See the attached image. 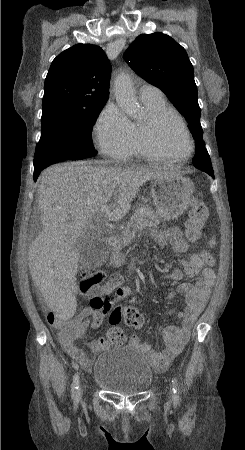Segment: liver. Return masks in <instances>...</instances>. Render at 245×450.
<instances>
[{"label": "liver", "mask_w": 245, "mask_h": 450, "mask_svg": "<svg viewBox=\"0 0 245 450\" xmlns=\"http://www.w3.org/2000/svg\"><path fill=\"white\" fill-rule=\"evenodd\" d=\"M177 172L161 168H119L74 163L56 164L41 175L38 207L42 231L28 250L31 276L49 308L61 319L76 311V241L85 235L102 207L112 221L130 210L139 188L148 180ZM180 174V173H177Z\"/></svg>", "instance_id": "6515ba94"}]
</instances>
